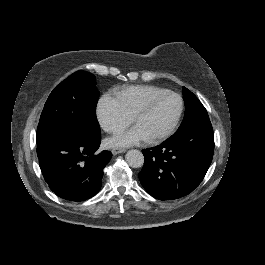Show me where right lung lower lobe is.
Listing matches in <instances>:
<instances>
[{
    "label": "right lung lower lobe",
    "mask_w": 265,
    "mask_h": 265,
    "mask_svg": "<svg viewBox=\"0 0 265 265\" xmlns=\"http://www.w3.org/2000/svg\"><path fill=\"white\" fill-rule=\"evenodd\" d=\"M100 135L77 131L50 133L37 140L40 169L49 188L69 201H84L101 188L112 153L102 151Z\"/></svg>",
    "instance_id": "right-lung-lower-lobe-1"
}]
</instances>
